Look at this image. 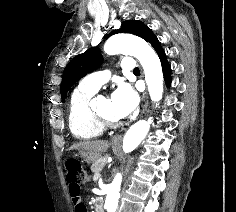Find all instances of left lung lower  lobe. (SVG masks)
Listing matches in <instances>:
<instances>
[{"label":"left lung lower lobe","instance_id":"1","mask_svg":"<svg viewBox=\"0 0 236 212\" xmlns=\"http://www.w3.org/2000/svg\"><path fill=\"white\" fill-rule=\"evenodd\" d=\"M145 40L147 42H149L153 46L155 51L157 52V54H158V56L161 60L166 85L170 86V83H171V77H170L171 68H170V65L167 62L166 54H165L164 50L162 49L159 40L157 39V37L154 35V33L152 31L149 32V34L147 35Z\"/></svg>","mask_w":236,"mask_h":212}]
</instances>
